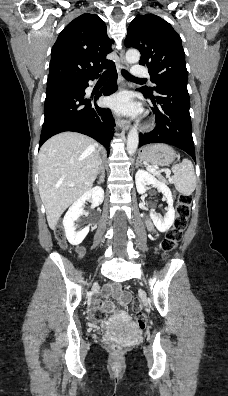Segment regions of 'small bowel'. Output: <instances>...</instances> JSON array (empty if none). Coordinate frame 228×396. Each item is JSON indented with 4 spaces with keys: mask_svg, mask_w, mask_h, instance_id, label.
<instances>
[{
    "mask_svg": "<svg viewBox=\"0 0 228 396\" xmlns=\"http://www.w3.org/2000/svg\"><path fill=\"white\" fill-rule=\"evenodd\" d=\"M82 253V249L79 250ZM103 294L106 297L104 301L95 300L94 305L98 308H102L105 312L108 313H115L117 309L115 308L114 304L108 300L110 296H112L120 306H124L130 300V294L128 292H124L121 290L120 286L115 285H107L104 290ZM100 323H103V320H100Z\"/></svg>",
    "mask_w": 228,
    "mask_h": 396,
    "instance_id": "1",
    "label": "small bowel"
}]
</instances>
